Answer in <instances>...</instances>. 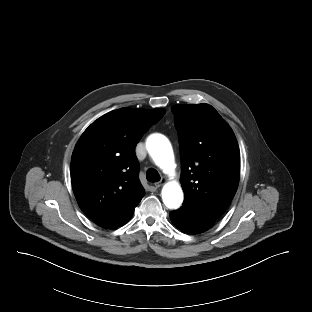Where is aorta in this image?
Returning a JSON list of instances; mask_svg holds the SVG:
<instances>
[{
	"instance_id": "1",
	"label": "aorta",
	"mask_w": 312,
	"mask_h": 312,
	"mask_svg": "<svg viewBox=\"0 0 312 312\" xmlns=\"http://www.w3.org/2000/svg\"><path fill=\"white\" fill-rule=\"evenodd\" d=\"M148 153L163 172L171 173L175 168L174 155L169 140L161 134H152L146 142ZM162 199L169 209H177L183 202V192L176 182L167 183L162 189Z\"/></svg>"
}]
</instances>
